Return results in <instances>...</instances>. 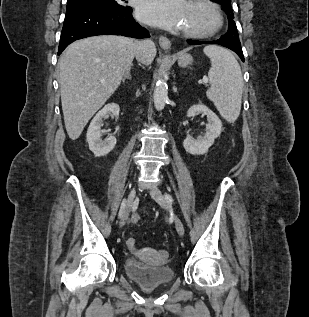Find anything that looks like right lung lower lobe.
<instances>
[{
    "instance_id": "obj_1",
    "label": "right lung lower lobe",
    "mask_w": 309,
    "mask_h": 317,
    "mask_svg": "<svg viewBox=\"0 0 309 317\" xmlns=\"http://www.w3.org/2000/svg\"><path fill=\"white\" fill-rule=\"evenodd\" d=\"M104 34L138 39L150 37L148 31L134 20L131 7L114 10L85 4H67L58 55L75 40Z\"/></svg>"
}]
</instances>
